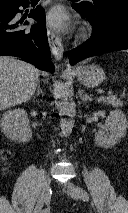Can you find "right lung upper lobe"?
<instances>
[{"label":"right lung upper lobe","instance_id":"right-lung-upper-lobe-1","mask_svg":"<svg viewBox=\"0 0 128 213\" xmlns=\"http://www.w3.org/2000/svg\"><path fill=\"white\" fill-rule=\"evenodd\" d=\"M24 0H0V8H8Z\"/></svg>","mask_w":128,"mask_h":213}]
</instances>
